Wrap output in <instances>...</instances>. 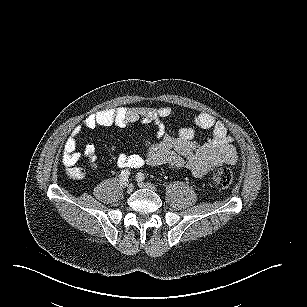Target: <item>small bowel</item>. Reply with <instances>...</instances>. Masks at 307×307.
Masks as SVG:
<instances>
[{"label": "small bowel", "instance_id": "1", "mask_svg": "<svg viewBox=\"0 0 307 307\" xmlns=\"http://www.w3.org/2000/svg\"><path fill=\"white\" fill-rule=\"evenodd\" d=\"M172 116L170 107H122L117 109L100 110L87 116L82 126L87 129L97 127H125L136 121L152 123L157 127L156 143L147 146L144 155L121 153L116 164L122 169H136L144 164L153 166L166 165L173 169H187L196 177L206 176L213 168L222 164H235L238 155L233 145V137L227 127L209 113L202 112L193 117V122L201 129H210L211 135L203 142L195 140L193 128L183 127L177 131L168 130L163 120ZM80 128H75L64 143L62 162L66 166L74 165L80 159L77 150V138ZM84 155L90 167L97 170V151L93 144H88Z\"/></svg>", "mask_w": 307, "mask_h": 307}]
</instances>
